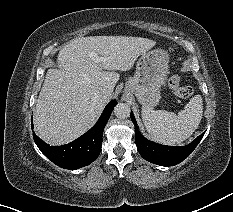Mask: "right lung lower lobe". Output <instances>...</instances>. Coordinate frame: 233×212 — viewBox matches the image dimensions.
Returning <instances> with one entry per match:
<instances>
[{
    "mask_svg": "<svg viewBox=\"0 0 233 212\" xmlns=\"http://www.w3.org/2000/svg\"><path fill=\"white\" fill-rule=\"evenodd\" d=\"M116 105V100L110 101L97 123L89 131L69 144L49 146L36 134H33L34 141L40 151L61 168L73 170L87 166L96 160L101 152L103 130Z\"/></svg>",
    "mask_w": 233,
    "mask_h": 212,
    "instance_id": "98d812e1",
    "label": "right lung lower lobe"
}]
</instances>
